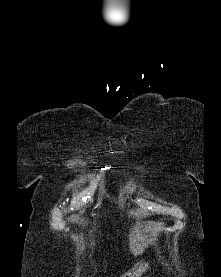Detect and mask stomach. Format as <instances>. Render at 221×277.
<instances>
[{
	"label": "stomach",
	"instance_id": "0dacf381",
	"mask_svg": "<svg viewBox=\"0 0 221 277\" xmlns=\"http://www.w3.org/2000/svg\"><path fill=\"white\" fill-rule=\"evenodd\" d=\"M147 268L148 263L141 260L137 262L130 271L126 272L123 277H141V275L146 271Z\"/></svg>",
	"mask_w": 221,
	"mask_h": 277
}]
</instances>
